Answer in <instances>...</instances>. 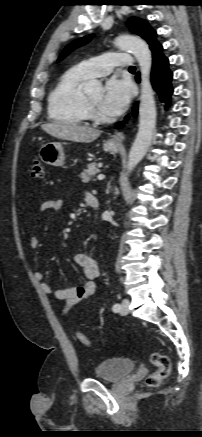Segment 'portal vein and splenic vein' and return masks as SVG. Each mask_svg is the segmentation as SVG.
<instances>
[{
  "label": "portal vein and splenic vein",
  "instance_id": "1",
  "mask_svg": "<svg viewBox=\"0 0 202 437\" xmlns=\"http://www.w3.org/2000/svg\"><path fill=\"white\" fill-rule=\"evenodd\" d=\"M104 178H105V176L103 174H100V175L97 176L98 180H103Z\"/></svg>",
  "mask_w": 202,
  "mask_h": 437
}]
</instances>
